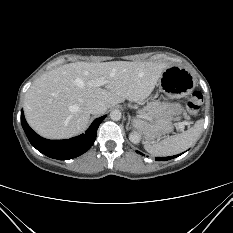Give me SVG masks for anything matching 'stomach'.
Masks as SVG:
<instances>
[{
    "label": "stomach",
    "mask_w": 233,
    "mask_h": 233,
    "mask_svg": "<svg viewBox=\"0 0 233 233\" xmlns=\"http://www.w3.org/2000/svg\"><path fill=\"white\" fill-rule=\"evenodd\" d=\"M159 87L168 98L178 99L192 92L195 79L187 69L171 65L163 71ZM148 114L147 118L139 116L134 121V126L142 130L147 139L153 140L160 134L172 132L173 121L179 120L184 110L179 103L154 102L150 104Z\"/></svg>",
    "instance_id": "0dacf381"
}]
</instances>
